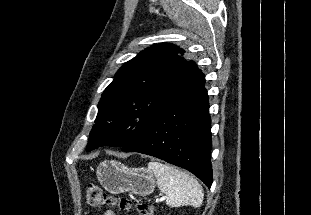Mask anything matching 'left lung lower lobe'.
<instances>
[{"instance_id":"obj_1","label":"left lung lower lobe","mask_w":311,"mask_h":215,"mask_svg":"<svg viewBox=\"0 0 311 215\" xmlns=\"http://www.w3.org/2000/svg\"><path fill=\"white\" fill-rule=\"evenodd\" d=\"M204 85V74L198 69L189 84L121 150L147 154L182 167L210 188L213 182L211 119Z\"/></svg>"}]
</instances>
